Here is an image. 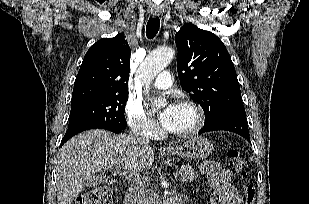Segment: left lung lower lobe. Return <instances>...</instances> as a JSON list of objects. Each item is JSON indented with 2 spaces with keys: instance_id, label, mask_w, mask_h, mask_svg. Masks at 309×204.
I'll return each instance as SVG.
<instances>
[{
  "instance_id": "left-lung-lower-lobe-1",
  "label": "left lung lower lobe",
  "mask_w": 309,
  "mask_h": 204,
  "mask_svg": "<svg viewBox=\"0 0 309 204\" xmlns=\"http://www.w3.org/2000/svg\"><path fill=\"white\" fill-rule=\"evenodd\" d=\"M226 130L241 135L250 142L247 119L244 106L229 107L223 109L206 119L200 133Z\"/></svg>"
}]
</instances>
